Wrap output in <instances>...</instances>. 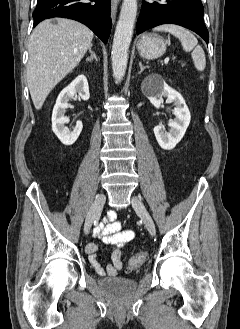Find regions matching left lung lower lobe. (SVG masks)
Segmentation results:
<instances>
[{
  "mask_svg": "<svg viewBox=\"0 0 240 329\" xmlns=\"http://www.w3.org/2000/svg\"><path fill=\"white\" fill-rule=\"evenodd\" d=\"M164 3L143 1L136 25L137 34L162 24H177L186 27L206 43L208 30L203 22L204 8L200 0H160Z\"/></svg>",
  "mask_w": 240,
  "mask_h": 329,
  "instance_id": "1",
  "label": "left lung lower lobe"
}]
</instances>
